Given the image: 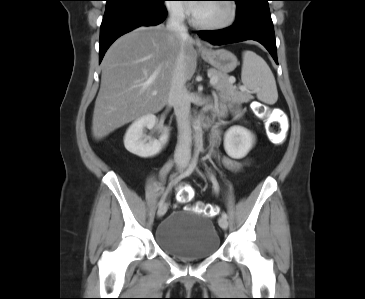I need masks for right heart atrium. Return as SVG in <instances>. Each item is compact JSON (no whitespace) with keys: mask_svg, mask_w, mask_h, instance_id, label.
<instances>
[{"mask_svg":"<svg viewBox=\"0 0 365 299\" xmlns=\"http://www.w3.org/2000/svg\"><path fill=\"white\" fill-rule=\"evenodd\" d=\"M166 9L171 16L178 20H183L188 15L187 8L181 0H168L166 3Z\"/></svg>","mask_w":365,"mask_h":299,"instance_id":"obj_1","label":"right heart atrium"}]
</instances>
